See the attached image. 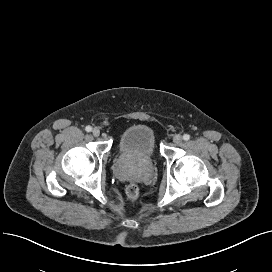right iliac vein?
Returning a JSON list of instances; mask_svg holds the SVG:
<instances>
[{
	"label": "right iliac vein",
	"mask_w": 272,
	"mask_h": 272,
	"mask_svg": "<svg viewBox=\"0 0 272 272\" xmlns=\"http://www.w3.org/2000/svg\"><path fill=\"white\" fill-rule=\"evenodd\" d=\"M92 134L95 136V137H98L100 135V130L99 128H94L92 130Z\"/></svg>",
	"instance_id": "obj_1"
}]
</instances>
